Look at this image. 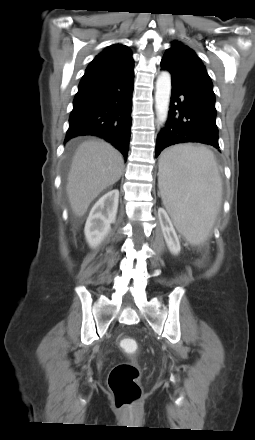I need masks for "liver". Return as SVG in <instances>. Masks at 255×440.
<instances>
[{"mask_svg":"<svg viewBox=\"0 0 255 440\" xmlns=\"http://www.w3.org/2000/svg\"><path fill=\"white\" fill-rule=\"evenodd\" d=\"M124 160L119 151L100 139L79 145L68 174L66 192L75 216L82 217L90 203L121 177Z\"/></svg>","mask_w":255,"mask_h":440,"instance_id":"obj_1","label":"liver"}]
</instances>
